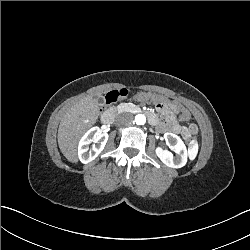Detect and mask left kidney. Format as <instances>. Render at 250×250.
<instances>
[{"label":"left kidney","mask_w":250,"mask_h":250,"mask_svg":"<svg viewBox=\"0 0 250 250\" xmlns=\"http://www.w3.org/2000/svg\"><path fill=\"white\" fill-rule=\"evenodd\" d=\"M165 140L172 146V150L177 154L173 156L168 150H164L161 147H157L155 152L160 160L168 167L181 168L187 163V149L184 142L179 136L173 133H165Z\"/></svg>","instance_id":"5707ae66"}]
</instances>
